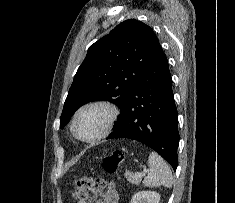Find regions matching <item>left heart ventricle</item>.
<instances>
[{"mask_svg":"<svg viewBox=\"0 0 235 203\" xmlns=\"http://www.w3.org/2000/svg\"><path fill=\"white\" fill-rule=\"evenodd\" d=\"M108 114L103 108L94 107L83 111L76 122L78 134L85 139L97 136L104 128Z\"/></svg>","mask_w":235,"mask_h":203,"instance_id":"1","label":"left heart ventricle"}]
</instances>
